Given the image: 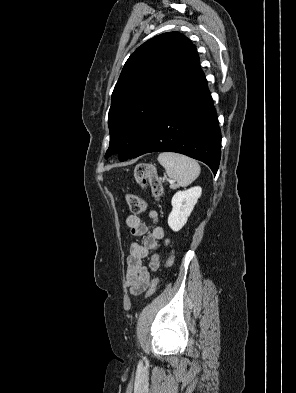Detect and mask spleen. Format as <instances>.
Returning a JSON list of instances; mask_svg holds the SVG:
<instances>
[{
	"label": "spleen",
	"instance_id": "3e777b00",
	"mask_svg": "<svg viewBox=\"0 0 296 393\" xmlns=\"http://www.w3.org/2000/svg\"><path fill=\"white\" fill-rule=\"evenodd\" d=\"M157 160L165 168L168 177L177 181L178 186L191 184L201 171L197 161L178 153L163 152Z\"/></svg>",
	"mask_w": 296,
	"mask_h": 393
}]
</instances>
